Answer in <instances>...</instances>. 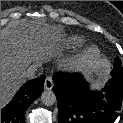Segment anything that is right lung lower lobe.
Segmentation results:
<instances>
[{
  "label": "right lung lower lobe",
  "instance_id": "right-lung-lower-lobe-1",
  "mask_svg": "<svg viewBox=\"0 0 123 123\" xmlns=\"http://www.w3.org/2000/svg\"><path fill=\"white\" fill-rule=\"evenodd\" d=\"M45 76L25 83L11 102L1 110V123H25V112L42 93Z\"/></svg>",
  "mask_w": 123,
  "mask_h": 123
}]
</instances>
